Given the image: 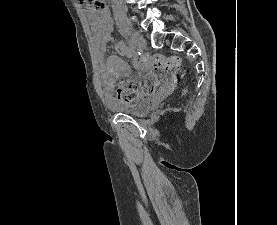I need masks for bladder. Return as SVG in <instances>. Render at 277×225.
<instances>
[{"label": "bladder", "mask_w": 277, "mask_h": 225, "mask_svg": "<svg viewBox=\"0 0 277 225\" xmlns=\"http://www.w3.org/2000/svg\"><path fill=\"white\" fill-rule=\"evenodd\" d=\"M109 107L118 113L140 116L149 113L153 107V103L151 96L148 95L132 104L123 102L110 105Z\"/></svg>", "instance_id": "31cf9c89"}]
</instances>
